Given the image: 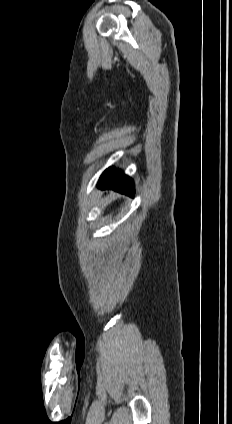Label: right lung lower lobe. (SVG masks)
<instances>
[{"label": "right lung lower lobe", "instance_id": "1", "mask_svg": "<svg viewBox=\"0 0 232 424\" xmlns=\"http://www.w3.org/2000/svg\"><path fill=\"white\" fill-rule=\"evenodd\" d=\"M98 186L102 189L110 188L118 192L134 196V185L132 180L121 173L120 170L107 169L100 177Z\"/></svg>", "mask_w": 232, "mask_h": 424}]
</instances>
